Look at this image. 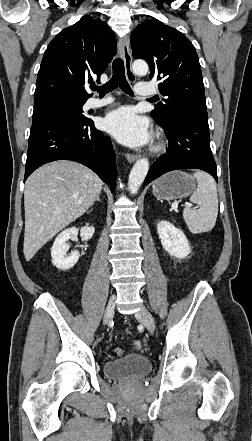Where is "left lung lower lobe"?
<instances>
[{
	"instance_id": "obj_1",
	"label": "left lung lower lobe",
	"mask_w": 252,
	"mask_h": 441,
	"mask_svg": "<svg viewBox=\"0 0 252 441\" xmlns=\"http://www.w3.org/2000/svg\"><path fill=\"white\" fill-rule=\"evenodd\" d=\"M159 125L168 137V149L152 164L143 186L162 174L177 169H201L217 181L207 116L195 111H185L176 115L168 125Z\"/></svg>"
}]
</instances>
